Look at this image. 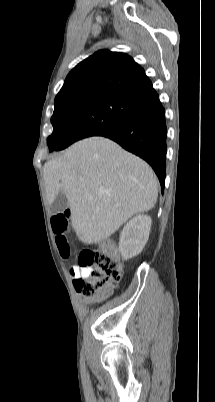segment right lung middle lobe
Here are the masks:
<instances>
[{
    "label": "right lung middle lobe",
    "instance_id": "dd1d6c3e",
    "mask_svg": "<svg viewBox=\"0 0 215 402\" xmlns=\"http://www.w3.org/2000/svg\"><path fill=\"white\" fill-rule=\"evenodd\" d=\"M54 106L51 118L54 130L47 139L50 151L110 132L124 123L140 104L113 94L92 93L55 99Z\"/></svg>",
    "mask_w": 215,
    "mask_h": 402
}]
</instances>
